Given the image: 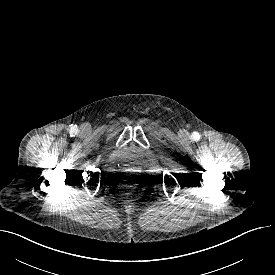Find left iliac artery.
<instances>
[{
	"label": "left iliac artery",
	"instance_id": "44dca946",
	"mask_svg": "<svg viewBox=\"0 0 275 275\" xmlns=\"http://www.w3.org/2000/svg\"><path fill=\"white\" fill-rule=\"evenodd\" d=\"M198 137H199L198 133L195 132V133L193 134V138H194V139H197Z\"/></svg>",
	"mask_w": 275,
	"mask_h": 275
}]
</instances>
